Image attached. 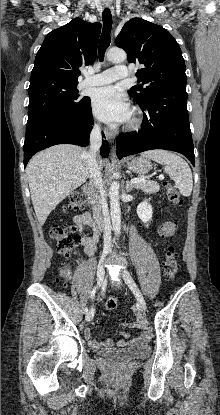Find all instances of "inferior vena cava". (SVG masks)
Masks as SVG:
<instances>
[{"instance_id": "1", "label": "inferior vena cava", "mask_w": 220, "mask_h": 415, "mask_svg": "<svg viewBox=\"0 0 220 415\" xmlns=\"http://www.w3.org/2000/svg\"><path fill=\"white\" fill-rule=\"evenodd\" d=\"M101 142V128L99 125H95L90 134V145L87 152V156L89 178L97 190H100L102 188L101 168L97 161V154L101 146ZM91 202L93 205L94 217L96 218L98 225L103 228L104 250L110 251L112 248V227L110 223V218L106 211L107 207L105 206L103 199H101V197L96 194H93V196L91 197ZM99 203H101L102 205L100 206Z\"/></svg>"}]
</instances>
